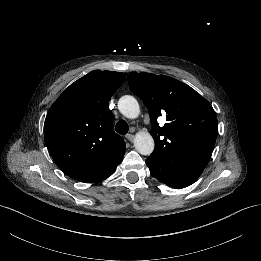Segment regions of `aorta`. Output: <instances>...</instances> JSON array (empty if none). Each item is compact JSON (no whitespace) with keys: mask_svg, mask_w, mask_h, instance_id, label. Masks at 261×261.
Listing matches in <instances>:
<instances>
[{"mask_svg":"<svg viewBox=\"0 0 261 261\" xmlns=\"http://www.w3.org/2000/svg\"><path fill=\"white\" fill-rule=\"evenodd\" d=\"M120 112L127 118L134 119L140 114L138 101L130 95L123 96L118 101ZM135 149L141 155H150L154 150V140L148 132H139L134 139Z\"/></svg>","mask_w":261,"mask_h":261,"instance_id":"762f6f07","label":"aorta"}]
</instances>
